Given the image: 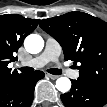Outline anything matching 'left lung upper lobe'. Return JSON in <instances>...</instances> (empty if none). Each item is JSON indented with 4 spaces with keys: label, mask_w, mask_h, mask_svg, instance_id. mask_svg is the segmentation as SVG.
Here are the masks:
<instances>
[{
    "label": "left lung upper lobe",
    "mask_w": 107,
    "mask_h": 107,
    "mask_svg": "<svg viewBox=\"0 0 107 107\" xmlns=\"http://www.w3.org/2000/svg\"><path fill=\"white\" fill-rule=\"evenodd\" d=\"M40 26L61 44L65 59L80 61L81 81L107 88V23L83 12L45 19Z\"/></svg>",
    "instance_id": "obj_1"
}]
</instances>
